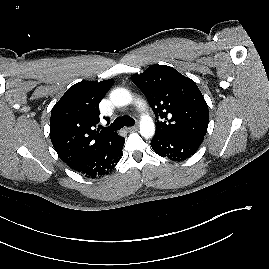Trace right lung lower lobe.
Here are the masks:
<instances>
[{
    "mask_svg": "<svg viewBox=\"0 0 269 269\" xmlns=\"http://www.w3.org/2000/svg\"><path fill=\"white\" fill-rule=\"evenodd\" d=\"M124 142L125 139L117 134L109 143L86 156L71 168L89 178L106 175L119 162Z\"/></svg>",
    "mask_w": 269,
    "mask_h": 269,
    "instance_id": "right-lung-lower-lobe-1",
    "label": "right lung lower lobe"
}]
</instances>
